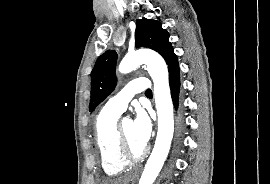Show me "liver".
Listing matches in <instances>:
<instances>
[{
  "instance_id": "6515ba94",
  "label": "liver",
  "mask_w": 270,
  "mask_h": 184,
  "mask_svg": "<svg viewBox=\"0 0 270 184\" xmlns=\"http://www.w3.org/2000/svg\"><path fill=\"white\" fill-rule=\"evenodd\" d=\"M129 177L114 179V180H107L104 184H127L129 182Z\"/></svg>"
}]
</instances>
